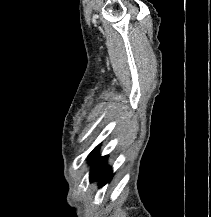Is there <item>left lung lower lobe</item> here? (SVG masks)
<instances>
[{
  "instance_id": "1",
  "label": "left lung lower lobe",
  "mask_w": 211,
  "mask_h": 217,
  "mask_svg": "<svg viewBox=\"0 0 211 217\" xmlns=\"http://www.w3.org/2000/svg\"><path fill=\"white\" fill-rule=\"evenodd\" d=\"M91 162L90 180L94 181L99 179L100 187L108 183L111 179L112 172L111 169H106L107 156L100 157L96 155Z\"/></svg>"
}]
</instances>
